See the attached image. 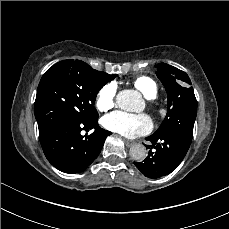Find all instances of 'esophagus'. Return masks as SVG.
I'll list each match as a JSON object with an SVG mask.
<instances>
[{
    "label": "esophagus",
    "mask_w": 229,
    "mask_h": 229,
    "mask_svg": "<svg viewBox=\"0 0 229 229\" xmlns=\"http://www.w3.org/2000/svg\"><path fill=\"white\" fill-rule=\"evenodd\" d=\"M124 142H125L126 147H128V148L135 145V141H132V140H125Z\"/></svg>",
    "instance_id": "esophagus-1"
}]
</instances>
